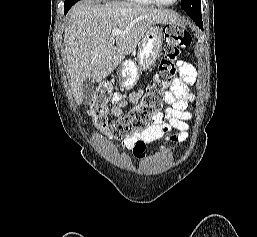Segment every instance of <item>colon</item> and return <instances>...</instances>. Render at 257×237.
I'll list each match as a JSON object with an SVG mask.
<instances>
[{
	"mask_svg": "<svg viewBox=\"0 0 257 237\" xmlns=\"http://www.w3.org/2000/svg\"><path fill=\"white\" fill-rule=\"evenodd\" d=\"M191 34L178 27H167L164 33V58L159 63L153 83L148 87L140 103L117 119L109 117V105L115 99L114 86L102 82L94 91L89 114L92 123L111 139L131 137L146 129L152 117L163 105L164 90L176 72L175 61L189 47Z\"/></svg>",
	"mask_w": 257,
	"mask_h": 237,
	"instance_id": "5ec220e1",
	"label": "colon"
}]
</instances>
